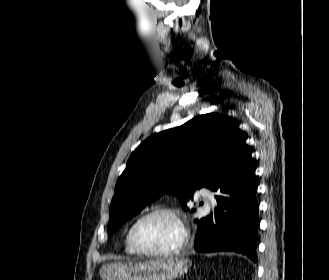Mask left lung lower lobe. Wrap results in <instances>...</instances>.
Segmentation results:
<instances>
[{
    "label": "left lung lower lobe",
    "mask_w": 329,
    "mask_h": 280,
    "mask_svg": "<svg viewBox=\"0 0 329 280\" xmlns=\"http://www.w3.org/2000/svg\"><path fill=\"white\" fill-rule=\"evenodd\" d=\"M252 150L245 144L240 154V170L230 183L217 191L218 207L198 221L195 250L234 251L257 260L256 242L259 206L256 200Z\"/></svg>",
    "instance_id": "1"
}]
</instances>
